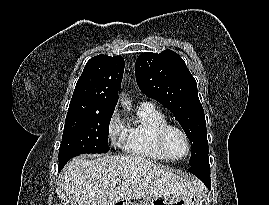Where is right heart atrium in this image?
Instances as JSON below:
<instances>
[{
  "mask_svg": "<svg viewBox=\"0 0 269 205\" xmlns=\"http://www.w3.org/2000/svg\"><path fill=\"white\" fill-rule=\"evenodd\" d=\"M106 129L111 144L115 146L124 145L127 136V128L117 112H113L109 117Z\"/></svg>",
  "mask_w": 269,
  "mask_h": 205,
  "instance_id": "right-heart-atrium-1",
  "label": "right heart atrium"
}]
</instances>
